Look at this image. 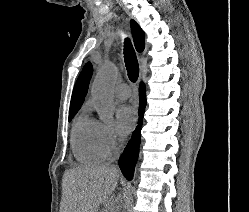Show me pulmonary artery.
Instances as JSON below:
<instances>
[{
	"instance_id": "obj_1",
	"label": "pulmonary artery",
	"mask_w": 249,
	"mask_h": 212,
	"mask_svg": "<svg viewBox=\"0 0 249 212\" xmlns=\"http://www.w3.org/2000/svg\"><path fill=\"white\" fill-rule=\"evenodd\" d=\"M115 96L121 100H126L131 95V89L126 83L116 85L114 90Z\"/></svg>"
}]
</instances>
